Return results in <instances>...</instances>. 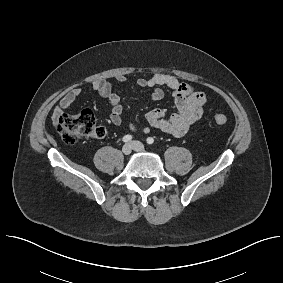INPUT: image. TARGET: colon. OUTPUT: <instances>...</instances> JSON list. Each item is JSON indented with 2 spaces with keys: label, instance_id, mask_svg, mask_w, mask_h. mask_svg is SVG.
<instances>
[{
  "label": "colon",
  "instance_id": "5ec220e1",
  "mask_svg": "<svg viewBox=\"0 0 283 283\" xmlns=\"http://www.w3.org/2000/svg\"><path fill=\"white\" fill-rule=\"evenodd\" d=\"M217 125H225L228 118L221 113L213 117ZM56 128L62 140L66 144H74L84 138H101L105 129L100 126L95 116L90 111L63 114L57 119Z\"/></svg>",
  "mask_w": 283,
  "mask_h": 283
}]
</instances>
